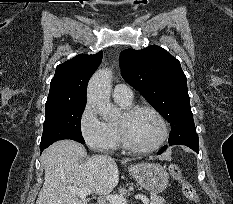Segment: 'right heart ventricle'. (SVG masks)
<instances>
[{
    "mask_svg": "<svg viewBox=\"0 0 233 204\" xmlns=\"http://www.w3.org/2000/svg\"><path fill=\"white\" fill-rule=\"evenodd\" d=\"M118 103V102H117ZM120 107H122L123 109H126L128 107H130L132 105V102H129V103H118ZM112 132L114 133L115 135V139H116V146H119L120 143H121V139H120V136H119V133H118V130H117V127L116 126H113L111 125L110 126Z\"/></svg>",
    "mask_w": 233,
    "mask_h": 204,
    "instance_id": "1",
    "label": "right heart ventricle"
}]
</instances>
